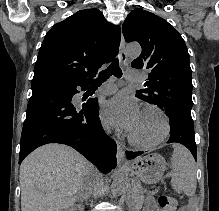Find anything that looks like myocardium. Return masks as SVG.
Here are the masks:
<instances>
[{"instance_id":"1","label":"myocardium","mask_w":219,"mask_h":211,"mask_svg":"<svg viewBox=\"0 0 219 211\" xmlns=\"http://www.w3.org/2000/svg\"><path fill=\"white\" fill-rule=\"evenodd\" d=\"M147 110H154L162 116V119H163L162 134L158 138H156L155 140L141 141V140L136 139L131 133H129L127 136L128 141L134 146L143 147V148H151V147L157 146L158 144L163 142L168 137V135L170 133V119H169V116L167 115V113L165 112V110L162 109L158 105L148 104V105H145L141 109V112H144Z\"/></svg>"}]
</instances>
